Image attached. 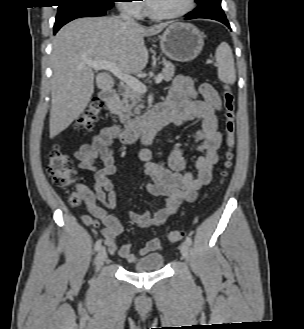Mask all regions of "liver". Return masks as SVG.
Returning a JSON list of instances; mask_svg holds the SVG:
<instances>
[{"instance_id":"6515ba94","label":"liver","mask_w":304,"mask_h":329,"mask_svg":"<svg viewBox=\"0 0 304 329\" xmlns=\"http://www.w3.org/2000/svg\"><path fill=\"white\" fill-rule=\"evenodd\" d=\"M166 23L146 28L113 17L76 19L53 39L51 66L50 138L64 131L87 107L97 87L109 90L113 77L95 75L87 61H109L127 74L141 72L148 63L144 37L160 33Z\"/></svg>"}]
</instances>
